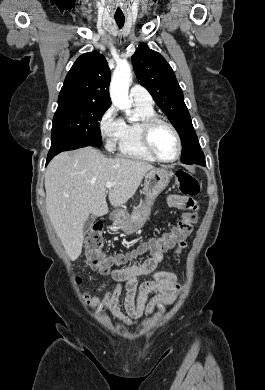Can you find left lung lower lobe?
I'll return each mask as SVG.
<instances>
[{
	"mask_svg": "<svg viewBox=\"0 0 265 390\" xmlns=\"http://www.w3.org/2000/svg\"><path fill=\"white\" fill-rule=\"evenodd\" d=\"M195 164H198V165H202V166H205L206 163H205V158L203 157L202 159L198 160V161H195L194 162Z\"/></svg>",
	"mask_w": 265,
	"mask_h": 390,
	"instance_id": "1",
	"label": "left lung lower lobe"
}]
</instances>
